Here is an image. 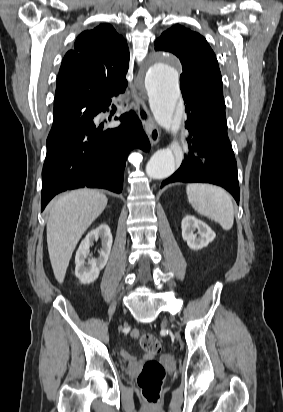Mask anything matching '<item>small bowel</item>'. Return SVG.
I'll use <instances>...</instances> for the list:
<instances>
[{
  "mask_svg": "<svg viewBox=\"0 0 283 412\" xmlns=\"http://www.w3.org/2000/svg\"><path fill=\"white\" fill-rule=\"evenodd\" d=\"M138 335H139V332L137 330L131 331V336L133 338H137ZM120 354L124 359H126L128 361H133L134 360V357L125 349H121Z\"/></svg>",
  "mask_w": 283,
  "mask_h": 412,
  "instance_id": "small-bowel-1",
  "label": "small bowel"
}]
</instances>
